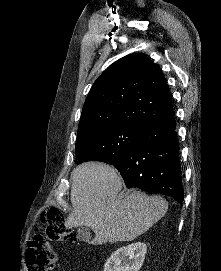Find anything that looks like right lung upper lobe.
I'll return each instance as SVG.
<instances>
[{"instance_id": "right-lung-upper-lobe-1", "label": "right lung upper lobe", "mask_w": 221, "mask_h": 271, "mask_svg": "<svg viewBox=\"0 0 221 271\" xmlns=\"http://www.w3.org/2000/svg\"><path fill=\"white\" fill-rule=\"evenodd\" d=\"M173 113L172 95L159 65L135 53L97 78L85 100L77 137L116 125L146 129Z\"/></svg>"}]
</instances>
